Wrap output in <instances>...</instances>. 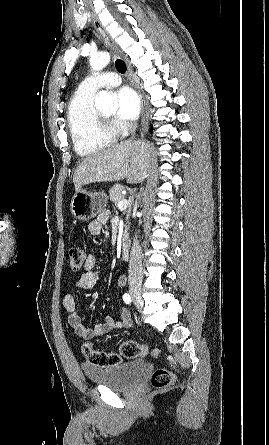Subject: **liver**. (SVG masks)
Segmentation results:
<instances>
[{
  "label": "liver",
  "mask_w": 269,
  "mask_h": 445,
  "mask_svg": "<svg viewBox=\"0 0 269 445\" xmlns=\"http://www.w3.org/2000/svg\"><path fill=\"white\" fill-rule=\"evenodd\" d=\"M150 145L145 141H124L111 145L85 158L73 176L75 191L95 182H113L126 179L128 183L141 182L147 172Z\"/></svg>",
  "instance_id": "liver-1"
}]
</instances>
